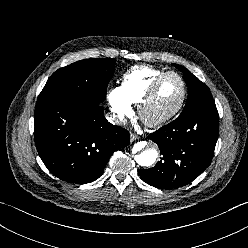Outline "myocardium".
Listing matches in <instances>:
<instances>
[{"instance_id": "1", "label": "myocardium", "mask_w": 248, "mask_h": 248, "mask_svg": "<svg viewBox=\"0 0 248 248\" xmlns=\"http://www.w3.org/2000/svg\"><path fill=\"white\" fill-rule=\"evenodd\" d=\"M169 76H175L177 77L182 85V93L179 102L176 106H174L171 110L167 111L166 113H163L161 115H157L154 117H151L148 115V109L155 98V95L157 93V90L162 83V81L169 77ZM187 97V85L183 77L173 71H166L165 73L158 76L150 85L149 89L147 90L146 94L142 98L141 102L138 106V113L142 121L150 126V127H159L173 119L183 108L184 103L186 101Z\"/></svg>"}]
</instances>
